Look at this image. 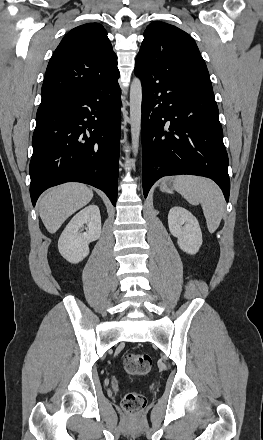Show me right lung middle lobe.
<instances>
[{"instance_id": "right-lung-middle-lobe-1", "label": "right lung middle lobe", "mask_w": 263, "mask_h": 440, "mask_svg": "<svg viewBox=\"0 0 263 440\" xmlns=\"http://www.w3.org/2000/svg\"><path fill=\"white\" fill-rule=\"evenodd\" d=\"M44 109H45L44 107H39L38 111H37V115L42 113L44 111Z\"/></svg>"}]
</instances>
